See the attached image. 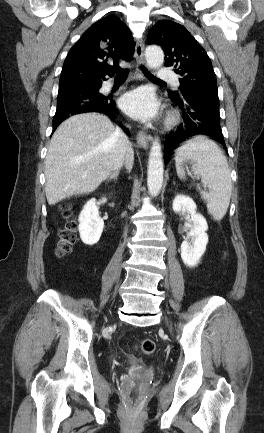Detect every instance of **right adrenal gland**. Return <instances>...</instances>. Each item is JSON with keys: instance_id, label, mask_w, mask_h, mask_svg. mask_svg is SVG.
<instances>
[{"instance_id": "right-adrenal-gland-1", "label": "right adrenal gland", "mask_w": 264, "mask_h": 433, "mask_svg": "<svg viewBox=\"0 0 264 433\" xmlns=\"http://www.w3.org/2000/svg\"><path fill=\"white\" fill-rule=\"evenodd\" d=\"M118 175H119L118 171L111 174V176L107 179V183H109L111 180H117Z\"/></svg>"}]
</instances>
